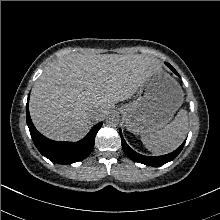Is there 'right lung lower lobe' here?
Returning a JSON list of instances; mask_svg holds the SVG:
<instances>
[{
  "label": "right lung lower lobe",
  "mask_w": 220,
  "mask_h": 220,
  "mask_svg": "<svg viewBox=\"0 0 220 220\" xmlns=\"http://www.w3.org/2000/svg\"><path fill=\"white\" fill-rule=\"evenodd\" d=\"M26 120L33 142L39 152L52 162L59 164H71L85 159L91 153L95 136L102 126V122L95 125L85 138L78 142H58L44 137L36 130L29 115L28 101L26 105Z\"/></svg>",
  "instance_id": "obj_1"
}]
</instances>
